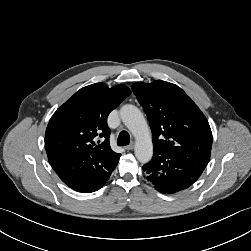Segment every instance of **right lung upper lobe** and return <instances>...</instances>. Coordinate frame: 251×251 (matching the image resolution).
Returning <instances> with one entry per match:
<instances>
[{
  "label": "right lung upper lobe",
  "mask_w": 251,
  "mask_h": 251,
  "mask_svg": "<svg viewBox=\"0 0 251 251\" xmlns=\"http://www.w3.org/2000/svg\"><path fill=\"white\" fill-rule=\"evenodd\" d=\"M130 94L122 84L109 88L95 83L81 88L51 117L45 133L47 155L72 150L79 157L97 159L106 170L113 169L121 154L110 147L107 117ZM98 138L101 142H96Z\"/></svg>",
  "instance_id": "1"
}]
</instances>
